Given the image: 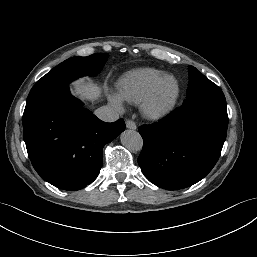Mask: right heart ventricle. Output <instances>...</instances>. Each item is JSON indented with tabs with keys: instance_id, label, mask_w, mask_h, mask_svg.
<instances>
[{
	"instance_id": "obj_1",
	"label": "right heart ventricle",
	"mask_w": 257,
	"mask_h": 257,
	"mask_svg": "<svg viewBox=\"0 0 257 257\" xmlns=\"http://www.w3.org/2000/svg\"><path fill=\"white\" fill-rule=\"evenodd\" d=\"M165 72L154 68H141L123 75L117 83V92L121 99L141 104L154 84Z\"/></svg>"
}]
</instances>
